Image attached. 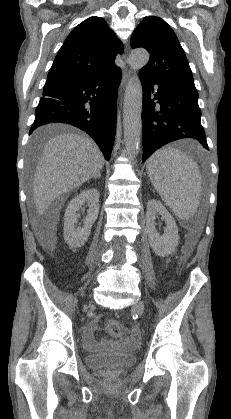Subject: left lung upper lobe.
I'll return each mask as SVG.
<instances>
[{"instance_id": "1", "label": "left lung upper lobe", "mask_w": 231, "mask_h": 419, "mask_svg": "<svg viewBox=\"0 0 231 419\" xmlns=\"http://www.w3.org/2000/svg\"><path fill=\"white\" fill-rule=\"evenodd\" d=\"M131 47H143L150 53L149 62L140 73L195 88L185 52L172 28L161 18L145 17L132 34Z\"/></svg>"}]
</instances>
